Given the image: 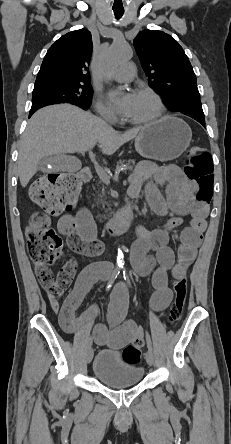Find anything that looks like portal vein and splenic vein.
<instances>
[{"mask_svg": "<svg viewBox=\"0 0 231 444\" xmlns=\"http://www.w3.org/2000/svg\"><path fill=\"white\" fill-rule=\"evenodd\" d=\"M91 153V152H90ZM92 162L94 163L95 170L102 180V182L106 185L110 184V177L107 175L106 171L95 161L93 157H91ZM118 170H123V167H119Z\"/></svg>", "mask_w": 231, "mask_h": 444, "instance_id": "18ae733b", "label": "portal vein and splenic vein"}]
</instances>
